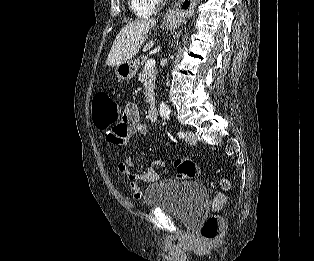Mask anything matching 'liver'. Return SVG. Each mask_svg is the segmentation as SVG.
Wrapping results in <instances>:
<instances>
[{
	"label": "liver",
	"mask_w": 314,
	"mask_h": 261,
	"mask_svg": "<svg viewBox=\"0 0 314 261\" xmlns=\"http://www.w3.org/2000/svg\"><path fill=\"white\" fill-rule=\"evenodd\" d=\"M156 19H144L127 24L113 42L106 65L117 66L137 55L146 40L149 30L156 25ZM154 42L145 45L144 51L151 49Z\"/></svg>",
	"instance_id": "obj_1"
}]
</instances>
